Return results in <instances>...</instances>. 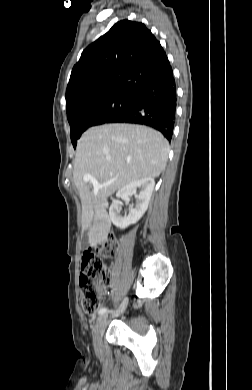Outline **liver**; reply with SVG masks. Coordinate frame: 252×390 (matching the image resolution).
Returning <instances> with one entry per match:
<instances>
[{
	"mask_svg": "<svg viewBox=\"0 0 252 390\" xmlns=\"http://www.w3.org/2000/svg\"><path fill=\"white\" fill-rule=\"evenodd\" d=\"M169 144L149 127L132 124H104L89 128L78 141L73 180L82 203V230L88 243L105 241L111 228L107 198L132 181L156 178L164 170ZM91 175L99 183H112L95 190L83 180Z\"/></svg>",
	"mask_w": 252,
	"mask_h": 390,
	"instance_id": "6515ba94",
	"label": "liver"
}]
</instances>
